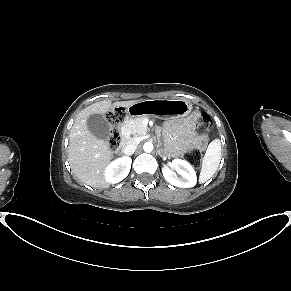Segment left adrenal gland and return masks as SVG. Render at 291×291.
<instances>
[{
  "label": "left adrenal gland",
  "mask_w": 291,
  "mask_h": 291,
  "mask_svg": "<svg viewBox=\"0 0 291 291\" xmlns=\"http://www.w3.org/2000/svg\"><path fill=\"white\" fill-rule=\"evenodd\" d=\"M158 153H159V155H160V156H162V154H161V152H160V151H158Z\"/></svg>",
  "instance_id": "obj_1"
}]
</instances>
